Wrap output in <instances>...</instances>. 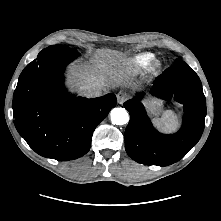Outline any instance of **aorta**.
<instances>
[{
  "mask_svg": "<svg viewBox=\"0 0 221 221\" xmlns=\"http://www.w3.org/2000/svg\"><path fill=\"white\" fill-rule=\"evenodd\" d=\"M111 121L116 125H124L129 121V115L126 109L124 108H114L111 113Z\"/></svg>",
  "mask_w": 221,
  "mask_h": 221,
  "instance_id": "1",
  "label": "aorta"
}]
</instances>
